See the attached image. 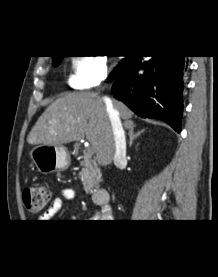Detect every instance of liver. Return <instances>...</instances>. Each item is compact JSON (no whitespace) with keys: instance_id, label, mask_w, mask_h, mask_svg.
Segmentation results:
<instances>
[{"instance_id":"1","label":"liver","mask_w":218,"mask_h":277,"mask_svg":"<svg viewBox=\"0 0 218 277\" xmlns=\"http://www.w3.org/2000/svg\"><path fill=\"white\" fill-rule=\"evenodd\" d=\"M113 106L126 129L134 127L132 112L113 99ZM86 135L100 165L112 162L115 143L104 101L96 93H66L47 107L28 135L29 144L61 146Z\"/></svg>"}]
</instances>
